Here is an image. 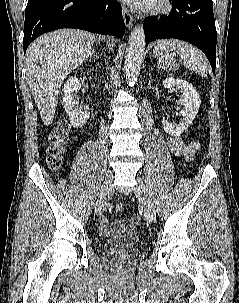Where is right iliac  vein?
I'll return each instance as SVG.
<instances>
[{"mask_svg": "<svg viewBox=\"0 0 239 303\" xmlns=\"http://www.w3.org/2000/svg\"><path fill=\"white\" fill-rule=\"evenodd\" d=\"M112 181H113L112 171L108 170L105 174V180L103 182L101 192L96 201V205H95L96 215H101L108 205V201L111 195Z\"/></svg>", "mask_w": 239, "mask_h": 303, "instance_id": "right-iliac-vein-1", "label": "right iliac vein"}]
</instances>
